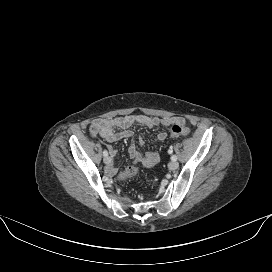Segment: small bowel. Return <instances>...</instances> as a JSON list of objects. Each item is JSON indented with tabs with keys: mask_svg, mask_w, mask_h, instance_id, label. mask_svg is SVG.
<instances>
[{
	"mask_svg": "<svg viewBox=\"0 0 272 272\" xmlns=\"http://www.w3.org/2000/svg\"><path fill=\"white\" fill-rule=\"evenodd\" d=\"M174 124L185 125V120L182 117H150L145 115H126L114 118L97 119L90 125L91 136H101L108 142H116L123 138H130L132 143L129 148L130 158L134 163H139L146 168L157 165L160 161V156L157 152H147L141 154L137 150V144L142 145L143 138L136 139L134 134L129 130L133 125H142L148 128H154L158 126H171ZM167 138L166 132H160L157 135L159 141H163ZM110 154L115 157L116 151L110 147ZM115 167L110 166L108 168L109 174H114Z\"/></svg>",
	"mask_w": 272,
	"mask_h": 272,
	"instance_id": "c3829d8e",
	"label": "small bowel"
}]
</instances>
